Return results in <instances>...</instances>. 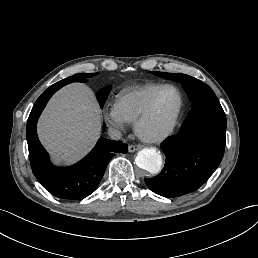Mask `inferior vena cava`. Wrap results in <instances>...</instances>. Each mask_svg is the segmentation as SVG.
Returning <instances> with one entry per match:
<instances>
[{
    "label": "inferior vena cava",
    "mask_w": 258,
    "mask_h": 258,
    "mask_svg": "<svg viewBox=\"0 0 258 258\" xmlns=\"http://www.w3.org/2000/svg\"><path fill=\"white\" fill-rule=\"evenodd\" d=\"M108 134H109L110 138L115 139V140H118L122 137L121 131L116 128H110L108 130Z\"/></svg>",
    "instance_id": "inferior-vena-cava-1"
}]
</instances>
